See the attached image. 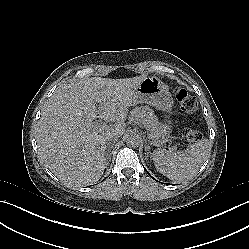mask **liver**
Segmentation results:
<instances>
[{
    "instance_id": "6515ba94",
    "label": "liver",
    "mask_w": 249,
    "mask_h": 249,
    "mask_svg": "<svg viewBox=\"0 0 249 249\" xmlns=\"http://www.w3.org/2000/svg\"><path fill=\"white\" fill-rule=\"evenodd\" d=\"M143 79H89L59 90L38 123L41 160L55 172L74 174L80 183L99 180L106 168L104 137L124 133L134 89ZM97 117L109 124H94Z\"/></svg>"
}]
</instances>
